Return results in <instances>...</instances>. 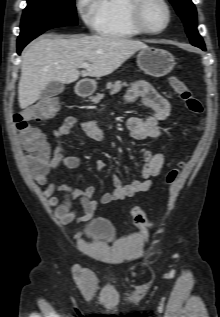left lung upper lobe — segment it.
<instances>
[{"label":"left lung upper lobe","mask_w":220,"mask_h":317,"mask_svg":"<svg viewBox=\"0 0 220 317\" xmlns=\"http://www.w3.org/2000/svg\"><path fill=\"white\" fill-rule=\"evenodd\" d=\"M178 15L184 22L186 33L190 38L192 45L197 47L204 46L202 37L197 31L196 9L191 0H169Z\"/></svg>","instance_id":"obj_1"}]
</instances>
